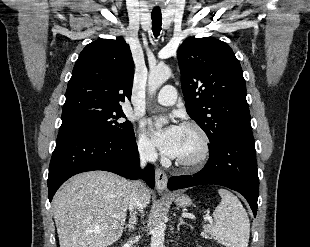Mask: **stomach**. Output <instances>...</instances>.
I'll use <instances>...</instances> for the list:
<instances>
[{"label": "stomach", "mask_w": 310, "mask_h": 247, "mask_svg": "<svg viewBox=\"0 0 310 247\" xmlns=\"http://www.w3.org/2000/svg\"><path fill=\"white\" fill-rule=\"evenodd\" d=\"M174 201L178 207L187 208L191 205V199L187 195H177Z\"/></svg>", "instance_id": "1"}]
</instances>
